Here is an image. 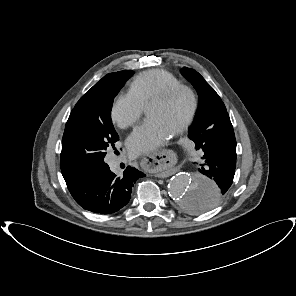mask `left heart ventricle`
Segmentation results:
<instances>
[{
	"instance_id": "1",
	"label": "left heart ventricle",
	"mask_w": 296,
	"mask_h": 296,
	"mask_svg": "<svg viewBox=\"0 0 296 296\" xmlns=\"http://www.w3.org/2000/svg\"><path fill=\"white\" fill-rule=\"evenodd\" d=\"M189 108V97L182 93L169 102L150 105L147 108V115L161 120L175 130L187 116Z\"/></svg>"
}]
</instances>
